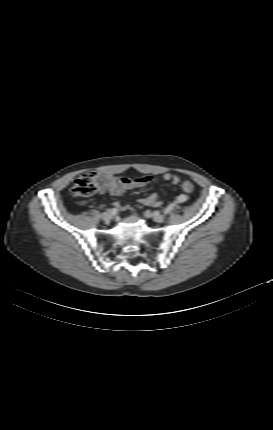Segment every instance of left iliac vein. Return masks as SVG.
<instances>
[{"instance_id":"4c4485c4","label":"left iliac vein","mask_w":273,"mask_h":430,"mask_svg":"<svg viewBox=\"0 0 273 430\" xmlns=\"http://www.w3.org/2000/svg\"><path fill=\"white\" fill-rule=\"evenodd\" d=\"M151 217H152V218H153V220H154V221H156V222H163V221H164V219H165L164 215H161V214H160V213H158V212L153 213V214L151 215Z\"/></svg>"}]
</instances>
